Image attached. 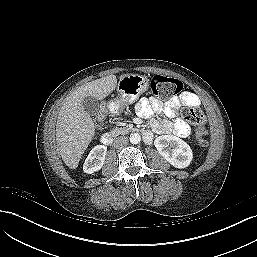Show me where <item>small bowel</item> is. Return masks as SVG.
Segmentation results:
<instances>
[{"label": "small bowel", "mask_w": 257, "mask_h": 257, "mask_svg": "<svg viewBox=\"0 0 257 257\" xmlns=\"http://www.w3.org/2000/svg\"><path fill=\"white\" fill-rule=\"evenodd\" d=\"M181 105L197 107L200 105V100L194 93L184 92L181 96L172 98L165 104L155 98L141 99L136 103L135 110L142 117H150L154 112H162L166 117L174 118ZM153 130L160 134L172 132L180 137H186L190 133L189 125L180 118H177L174 122L168 120L154 122Z\"/></svg>", "instance_id": "1"}]
</instances>
